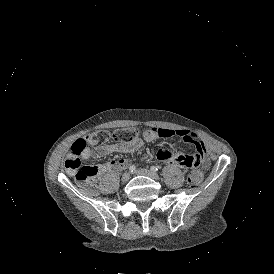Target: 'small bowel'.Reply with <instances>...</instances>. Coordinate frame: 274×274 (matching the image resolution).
<instances>
[{"label": "small bowel", "mask_w": 274, "mask_h": 274, "mask_svg": "<svg viewBox=\"0 0 274 274\" xmlns=\"http://www.w3.org/2000/svg\"><path fill=\"white\" fill-rule=\"evenodd\" d=\"M192 144L196 149V156H198L203 166L210 165L209 158L206 156V146L203 140L194 132L181 129H170L165 127H149L144 132L141 138L136 139L130 143L114 142L108 144H101L93 147H86L81 156L84 159L101 158L105 155L113 153H129L138 150L144 142H154L158 139L172 138L169 141V148H162L156 152V157L159 160L167 159L171 166L182 165L185 169H195L199 165V160L196 157L188 158L180 155V141ZM127 165L125 159H118L98 166L99 173H104L112 169H121ZM98 173V174H99Z\"/></svg>", "instance_id": "c3829d8e"}]
</instances>
